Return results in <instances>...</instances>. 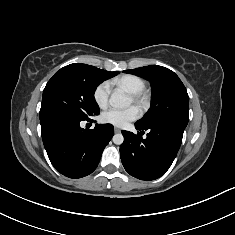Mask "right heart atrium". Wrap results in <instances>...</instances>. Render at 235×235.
<instances>
[{
	"label": "right heart atrium",
	"mask_w": 235,
	"mask_h": 235,
	"mask_svg": "<svg viewBox=\"0 0 235 235\" xmlns=\"http://www.w3.org/2000/svg\"><path fill=\"white\" fill-rule=\"evenodd\" d=\"M110 93H111L110 82L108 81L101 82L96 86L93 92V98L95 103L100 108H105L108 105Z\"/></svg>",
	"instance_id": "right-heart-atrium-1"
}]
</instances>
